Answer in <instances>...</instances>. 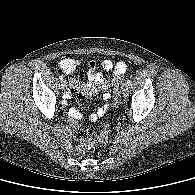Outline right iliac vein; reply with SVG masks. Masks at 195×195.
Here are the masks:
<instances>
[{"label": "right iliac vein", "mask_w": 195, "mask_h": 195, "mask_svg": "<svg viewBox=\"0 0 195 195\" xmlns=\"http://www.w3.org/2000/svg\"><path fill=\"white\" fill-rule=\"evenodd\" d=\"M66 88H67V83H66V81H62V82H61V90H62V91H65Z\"/></svg>", "instance_id": "63e3f726"}]
</instances>
